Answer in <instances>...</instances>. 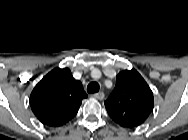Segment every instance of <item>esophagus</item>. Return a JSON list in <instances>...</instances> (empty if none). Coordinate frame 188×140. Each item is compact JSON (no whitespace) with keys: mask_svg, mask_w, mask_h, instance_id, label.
Here are the masks:
<instances>
[{"mask_svg":"<svg viewBox=\"0 0 188 140\" xmlns=\"http://www.w3.org/2000/svg\"><path fill=\"white\" fill-rule=\"evenodd\" d=\"M93 96H94L96 99H98V100H103L105 95H104L103 92H98V93H95Z\"/></svg>","mask_w":188,"mask_h":140,"instance_id":"esophagus-1","label":"esophagus"}]
</instances>
